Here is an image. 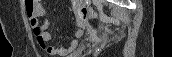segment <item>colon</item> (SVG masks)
Wrapping results in <instances>:
<instances>
[{
    "label": "colon",
    "instance_id": "colon-1",
    "mask_svg": "<svg viewBox=\"0 0 172 57\" xmlns=\"http://www.w3.org/2000/svg\"><path fill=\"white\" fill-rule=\"evenodd\" d=\"M77 13L79 17L84 21L97 16V12L92 8L81 7L77 10Z\"/></svg>",
    "mask_w": 172,
    "mask_h": 57
}]
</instances>
